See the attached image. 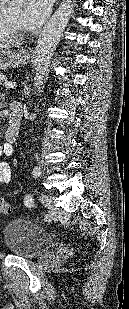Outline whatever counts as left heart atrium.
Instances as JSON below:
<instances>
[{
    "label": "left heart atrium",
    "mask_w": 129,
    "mask_h": 309,
    "mask_svg": "<svg viewBox=\"0 0 129 309\" xmlns=\"http://www.w3.org/2000/svg\"><path fill=\"white\" fill-rule=\"evenodd\" d=\"M50 0H25L22 10V23L25 29H37L47 18Z\"/></svg>",
    "instance_id": "obj_1"
}]
</instances>
